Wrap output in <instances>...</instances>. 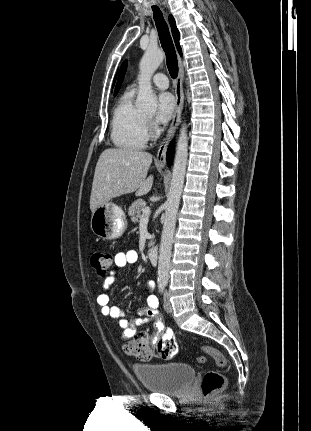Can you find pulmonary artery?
<instances>
[{
  "label": "pulmonary artery",
  "instance_id": "1",
  "mask_svg": "<svg viewBox=\"0 0 311 431\" xmlns=\"http://www.w3.org/2000/svg\"><path fill=\"white\" fill-rule=\"evenodd\" d=\"M153 83L157 88L162 90L167 89L169 87L168 77L161 72H158L153 76ZM132 88L134 89L135 85H133Z\"/></svg>",
  "mask_w": 311,
  "mask_h": 431
}]
</instances>
